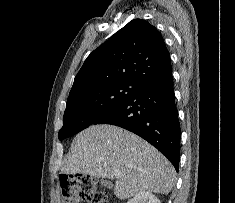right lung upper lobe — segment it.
Returning a JSON list of instances; mask_svg holds the SVG:
<instances>
[{"instance_id":"right-lung-upper-lobe-1","label":"right lung upper lobe","mask_w":235,"mask_h":203,"mask_svg":"<svg viewBox=\"0 0 235 203\" xmlns=\"http://www.w3.org/2000/svg\"><path fill=\"white\" fill-rule=\"evenodd\" d=\"M171 68L169 51L158 30L145 20L134 19L86 58L70 93L112 80L141 84Z\"/></svg>"}]
</instances>
